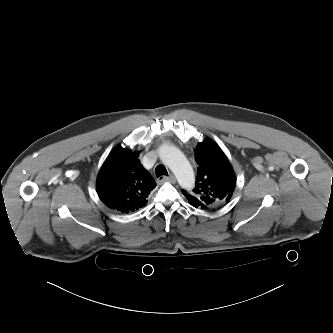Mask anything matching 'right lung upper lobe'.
I'll return each instance as SVG.
<instances>
[{"mask_svg":"<svg viewBox=\"0 0 333 333\" xmlns=\"http://www.w3.org/2000/svg\"><path fill=\"white\" fill-rule=\"evenodd\" d=\"M138 156V152L118 145L107 157L96 184L98 196L107 207L129 213L146 205L156 183Z\"/></svg>","mask_w":333,"mask_h":333,"instance_id":"right-lung-upper-lobe-1","label":"right lung upper lobe"}]
</instances>
